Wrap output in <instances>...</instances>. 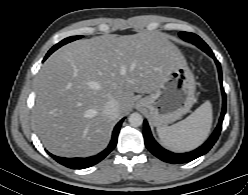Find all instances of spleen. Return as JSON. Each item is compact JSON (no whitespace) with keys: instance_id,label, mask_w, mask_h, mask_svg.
Wrapping results in <instances>:
<instances>
[{"instance_id":"3e777b00","label":"spleen","mask_w":248,"mask_h":195,"mask_svg":"<svg viewBox=\"0 0 248 195\" xmlns=\"http://www.w3.org/2000/svg\"><path fill=\"white\" fill-rule=\"evenodd\" d=\"M212 121V105L206 101L184 120L168 127H158L157 134L169 150L190 151L207 139Z\"/></svg>"}]
</instances>
